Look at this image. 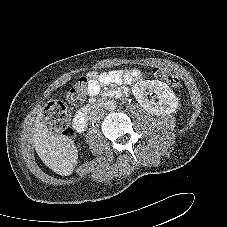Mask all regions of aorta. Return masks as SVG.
I'll return each instance as SVG.
<instances>
[{
  "label": "aorta",
  "instance_id": "aorta-1",
  "mask_svg": "<svg viewBox=\"0 0 227 227\" xmlns=\"http://www.w3.org/2000/svg\"><path fill=\"white\" fill-rule=\"evenodd\" d=\"M104 107H105V109L108 110V111H113V110L116 109L117 103H116L115 100L109 99V100H107V101L104 103Z\"/></svg>",
  "mask_w": 227,
  "mask_h": 227
}]
</instances>
